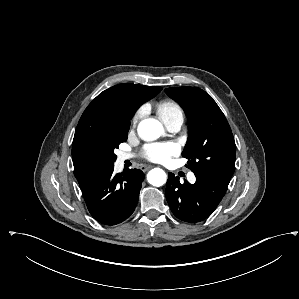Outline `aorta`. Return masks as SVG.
<instances>
[{
    "mask_svg": "<svg viewBox=\"0 0 299 299\" xmlns=\"http://www.w3.org/2000/svg\"><path fill=\"white\" fill-rule=\"evenodd\" d=\"M163 131L164 129L162 124L153 118L142 120L137 128L139 137L145 141H152L159 138ZM147 180L151 185L160 187L166 183L167 175L164 170L154 168L148 172Z\"/></svg>",
    "mask_w": 299,
    "mask_h": 299,
    "instance_id": "762f6f07",
    "label": "aorta"
}]
</instances>
